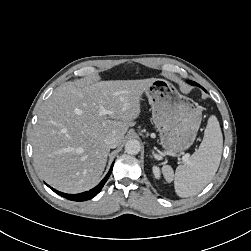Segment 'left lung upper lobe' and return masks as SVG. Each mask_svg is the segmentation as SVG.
I'll use <instances>...</instances> for the list:
<instances>
[{
  "mask_svg": "<svg viewBox=\"0 0 251 251\" xmlns=\"http://www.w3.org/2000/svg\"><path fill=\"white\" fill-rule=\"evenodd\" d=\"M188 83H190L191 85H194V86H199V87H201L199 84H197L196 82H193V81H188Z\"/></svg>",
  "mask_w": 251,
  "mask_h": 251,
  "instance_id": "obj_1",
  "label": "left lung upper lobe"
}]
</instances>
